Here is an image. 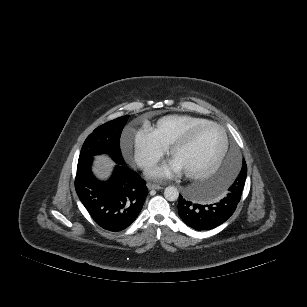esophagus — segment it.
<instances>
[{
    "mask_svg": "<svg viewBox=\"0 0 307 307\" xmlns=\"http://www.w3.org/2000/svg\"><path fill=\"white\" fill-rule=\"evenodd\" d=\"M147 187H148V189H156V190H158V189H162V186H160V185H158V184H154V183H147Z\"/></svg>",
    "mask_w": 307,
    "mask_h": 307,
    "instance_id": "esophagus-1",
    "label": "esophagus"
}]
</instances>
